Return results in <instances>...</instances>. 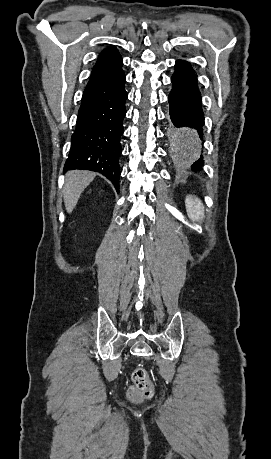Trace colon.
I'll return each mask as SVG.
<instances>
[{
    "label": "colon",
    "mask_w": 271,
    "mask_h": 459,
    "mask_svg": "<svg viewBox=\"0 0 271 459\" xmlns=\"http://www.w3.org/2000/svg\"><path fill=\"white\" fill-rule=\"evenodd\" d=\"M133 385L128 389V398L132 401H140L153 396L154 387L148 372L143 367H137L132 373Z\"/></svg>",
    "instance_id": "1"
}]
</instances>
